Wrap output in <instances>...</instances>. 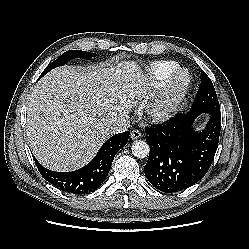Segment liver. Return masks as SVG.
<instances>
[{"instance_id":"obj_1","label":"liver","mask_w":249,"mask_h":249,"mask_svg":"<svg viewBox=\"0 0 249 249\" xmlns=\"http://www.w3.org/2000/svg\"><path fill=\"white\" fill-rule=\"evenodd\" d=\"M146 75L132 61L59 67L34 87L26 132L37 160L53 171L86 165L112 135L110 125L148 99Z\"/></svg>"}]
</instances>
